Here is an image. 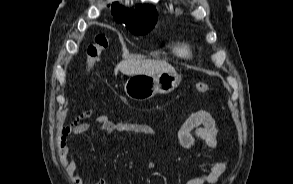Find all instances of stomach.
Instances as JSON below:
<instances>
[{"label":"stomach","instance_id":"stomach-1","mask_svg":"<svg viewBox=\"0 0 293 184\" xmlns=\"http://www.w3.org/2000/svg\"><path fill=\"white\" fill-rule=\"evenodd\" d=\"M181 76L176 72L131 75L124 85L126 95L136 101H144L155 94H168L181 83Z\"/></svg>","mask_w":293,"mask_h":184}]
</instances>
